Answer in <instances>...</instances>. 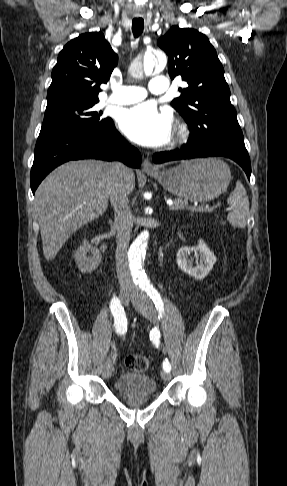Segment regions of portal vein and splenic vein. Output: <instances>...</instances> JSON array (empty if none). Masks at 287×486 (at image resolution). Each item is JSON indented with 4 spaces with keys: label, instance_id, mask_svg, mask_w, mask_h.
Masks as SVG:
<instances>
[{
    "label": "portal vein and splenic vein",
    "instance_id": "obj_1",
    "mask_svg": "<svg viewBox=\"0 0 287 486\" xmlns=\"http://www.w3.org/2000/svg\"><path fill=\"white\" fill-rule=\"evenodd\" d=\"M167 205L169 207H172L174 205V203H173L172 200H168L167 201ZM206 208H208V205H206ZM188 209L191 210V211H195V212H202V211H204V207L203 206H201V207H189Z\"/></svg>",
    "mask_w": 287,
    "mask_h": 486
}]
</instances>
